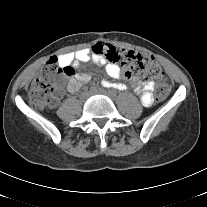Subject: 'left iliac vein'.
Returning <instances> with one entry per match:
<instances>
[{
	"label": "left iliac vein",
	"instance_id": "1",
	"mask_svg": "<svg viewBox=\"0 0 207 207\" xmlns=\"http://www.w3.org/2000/svg\"><path fill=\"white\" fill-rule=\"evenodd\" d=\"M91 93H99V94H103L106 95L110 98H113L116 95V91L111 89L109 91L105 90V89H99V90H91Z\"/></svg>",
	"mask_w": 207,
	"mask_h": 207
}]
</instances>
